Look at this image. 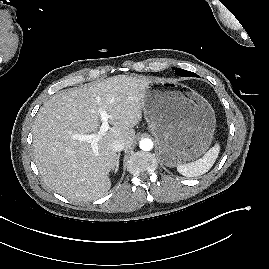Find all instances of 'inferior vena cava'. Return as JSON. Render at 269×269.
Returning a JSON list of instances; mask_svg holds the SVG:
<instances>
[{
    "label": "inferior vena cava",
    "mask_w": 269,
    "mask_h": 269,
    "mask_svg": "<svg viewBox=\"0 0 269 269\" xmlns=\"http://www.w3.org/2000/svg\"><path fill=\"white\" fill-rule=\"evenodd\" d=\"M112 149L115 152L122 151L125 148V143L122 140H116L112 143Z\"/></svg>",
    "instance_id": "1"
}]
</instances>
